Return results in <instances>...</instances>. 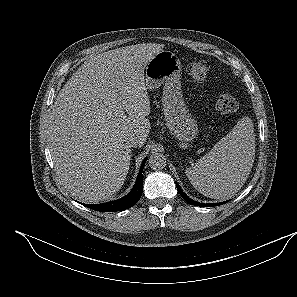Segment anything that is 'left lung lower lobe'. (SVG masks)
<instances>
[{
	"label": "left lung lower lobe",
	"instance_id": "left-lung-lower-lobe-1",
	"mask_svg": "<svg viewBox=\"0 0 297 297\" xmlns=\"http://www.w3.org/2000/svg\"><path fill=\"white\" fill-rule=\"evenodd\" d=\"M176 187H177V190L180 193V195L183 197V199H185L191 205L202 206V207H210V206L212 207V206H218V205L228 202V201H224V202H220V203H211V204L199 203V202H196V201L190 199L187 195H185L177 183H176Z\"/></svg>",
	"mask_w": 297,
	"mask_h": 297
}]
</instances>
